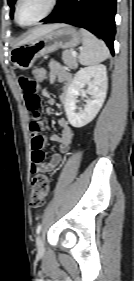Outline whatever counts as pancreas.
I'll list each match as a JSON object with an SVG mask.
<instances>
[{"label": "pancreas", "instance_id": "pancreas-1", "mask_svg": "<svg viewBox=\"0 0 134 281\" xmlns=\"http://www.w3.org/2000/svg\"><path fill=\"white\" fill-rule=\"evenodd\" d=\"M62 60L71 69H76L78 67L77 58L72 56L70 50H65L62 53Z\"/></svg>", "mask_w": 134, "mask_h": 281}]
</instances>
